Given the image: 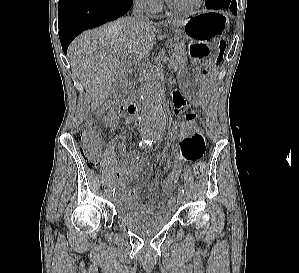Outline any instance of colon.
I'll return each mask as SVG.
<instances>
[{"instance_id":"1","label":"colon","mask_w":299,"mask_h":273,"mask_svg":"<svg viewBox=\"0 0 299 273\" xmlns=\"http://www.w3.org/2000/svg\"><path fill=\"white\" fill-rule=\"evenodd\" d=\"M226 44L220 41L217 46L215 62L222 60ZM198 116L195 112H190L178 123V140L181 141L189 137L197 129ZM79 143L82 156L92 168L99 166V156L101 152V142L98 133L92 125L86 124L79 132ZM206 171V164L203 161H197L193 165V174L200 178Z\"/></svg>"}]
</instances>
